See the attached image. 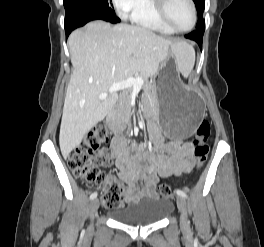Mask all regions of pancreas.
Here are the masks:
<instances>
[{"label":"pancreas","instance_id":"cf45deb5","mask_svg":"<svg viewBox=\"0 0 264 247\" xmlns=\"http://www.w3.org/2000/svg\"><path fill=\"white\" fill-rule=\"evenodd\" d=\"M145 82L142 85V88L145 92V94L153 101L155 102L156 99V93H155V86L152 82H149L145 80V77L142 75H139ZM133 91L132 87L127 88L119 97L117 104L114 108V117L117 122L124 123L127 122L132 115L131 112V93Z\"/></svg>","mask_w":264,"mask_h":247}]
</instances>
